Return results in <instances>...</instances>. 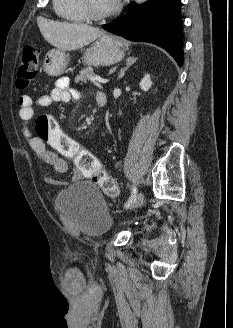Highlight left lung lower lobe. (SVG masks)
I'll return each instance as SVG.
<instances>
[{
  "label": "left lung lower lobe",
  "mask_w": 233,
  "mask_h": 328,
  "mask_svg": "<svg viewBox=\"0 0 233 328\" xmlns=\"http://www.w3.org/2000/svg\"><path fill=\"white\" fill-rule=\"evenodd\" d=\"M181 0H149L134 2L127 14L104 29L131 41H145L164 48L179 66L183 64Z\"/></svg>",
  "instance_id": "1"
}]
</instances>
